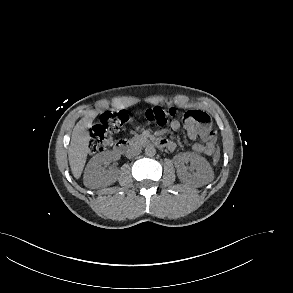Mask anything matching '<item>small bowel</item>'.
Listing matches in <instances>:
<instances>
[{
    "mask_svg": "<svg viewBox=\"0 0 293 293\" xmlns=\"http://www.w3.org/2000/svg\"><path fill=\"white\" fill-rule=\"evenodd\" d=\"M200 116L199 122H190L186 123L185 121V129L189 139L195 140L197 138L202 139V143H194L192 146V150L194 153L198 154H206L212 155L215 151V144H216V133L213 131L210 125L209 116L200 110H194ZM182 123L178 119L172 120L168 128L172 131H178L181 127ZM167 149L170 151L175 150L176 144L173 141H166Z\"/></svg>",
    "mask_w": 293,
    "mask_h": 293,
    "instance_id": "small-bowel-1",
    "label": "small bowel"
}]
</instances>
